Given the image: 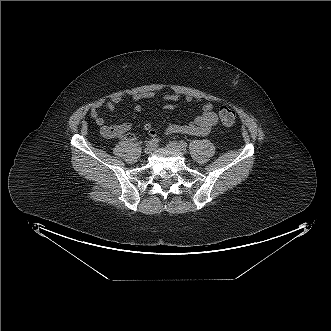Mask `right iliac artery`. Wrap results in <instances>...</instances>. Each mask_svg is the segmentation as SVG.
<instances>
[{"mask_svg":"<svg viewBox=\"0 0 331 331\" xmlns=\"http://www.w3.org/2000/svg\"><path fill=\"white\" fill-rule=\"evenodd\" d=\"M158 142H159V140H158V139H152V140H150V141H148V142L146 143V146H153V145H157V144H158Z\"/></svg>","mask_w":331,"mask_h":331,"instance_id":"right-iliac-artery-1","label":"right iliac artery"}]
</instances>
